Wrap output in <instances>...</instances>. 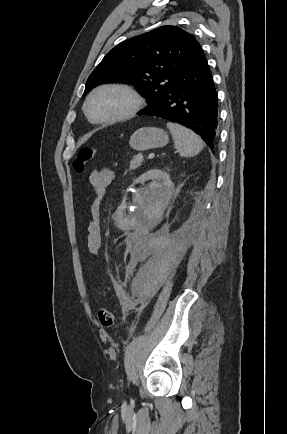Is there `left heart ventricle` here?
<instances>
[{
	"mask_svg": "<svg viewBox=\"0 0 287 434\" xmlns=\"http://www.w3.org/2000/svg\"><path fill=\"white\" fill-rule=\"evenodd\" d=\"M130 102V98L124 92L108 89L93 97L89 110L94 118L114 117L123 113L129 107Z\"/></svg>",
	"mask_w": 287,
	"mask_h": 434,
	"instance_id": "b2bd125f",
	"label": "left heart ventricle"
}]
</instances>
